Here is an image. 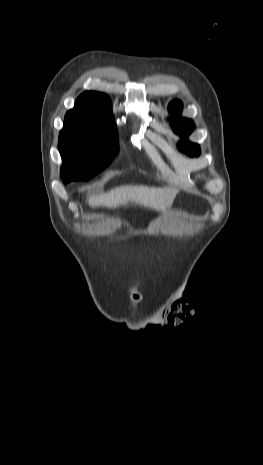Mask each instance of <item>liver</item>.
<instances>
[{"instance_id":"liver-1","label":"liver","mask_w":263,"mask_h":465,"mask_svg":"<svg viewBox=\"0 0 263 465\" xmlns=\"http://www.w3.org/2000/svg\"><path fill=\"white\" fill-rule=\"evenodd\" d=\"M176 189L158 188L146 185H122L106 193L93 195L87 199L91 207L107 206L116 208L126 206L128 203L144 206L157 211L166 212L172 204Z\"/></svg>"}]
</instances>
